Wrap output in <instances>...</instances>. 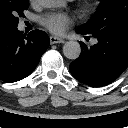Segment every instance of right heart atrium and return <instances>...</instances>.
Wrapping results in <instances>:
<instances>
[{
    "label": "right heart atrium",
    "instance_id": "obj_1",
    "mask_svg": "<svg viewBox=\"0 0 128 128\" xmlns=\"http://www.w3.org/2000/svg\"><path fill=\"white\" fill-rule=\"evenodd\" d=\"M31 2H34L35 0H30Z\"/></svg>",
    "mask_w": 128,
    "mask_h": 128
}]
</instances>
